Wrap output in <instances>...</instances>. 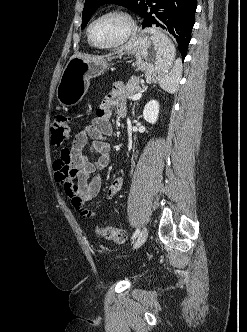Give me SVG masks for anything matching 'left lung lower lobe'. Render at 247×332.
<instances>
[{
	"label": "left lung lower lobe",
	"instance_id": "1",
	"mask_svg": "<svg viewBox=\"0 0 247 332\" xmlns=\"http://www.w3.org/2000/svg\"><path fill=\"white\" fill-rule=\"evenodd\" d=\"M152 2L155 4L152 5ZM196 7V0H146L140 16L144 19L143 27L156 25L171 33L182 57H185L195 23Z\"/></svg>",
	"mask_w": 247,
	"mask_h": 332
}]
</instances>
